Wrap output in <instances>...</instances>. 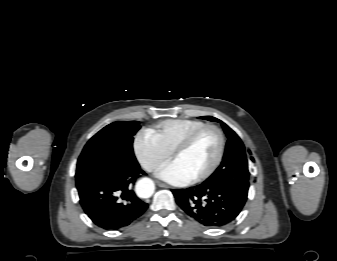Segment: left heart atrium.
<instances>
[{"label": "left heart atrium", "instance_id": "obj_1", "mask_svg": "<svg viewBox=\"0 0 337 261\" xmlns=\"http://www.w3.org/2000/svg\"><path fill=\"white\" fill-rule=\"evenodd\" d=\"M157 176L173 185L183 186L192 181V177L175 160L163 165L158 171Z\"/></svg>", "mask_w": 337, "mask_h": 261}]
</instances>
